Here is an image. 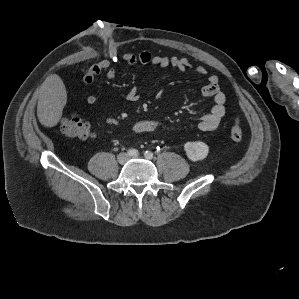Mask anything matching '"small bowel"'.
<instances>
[{"instance_id":"c3829d8e","label":"small bowel","mask_w":299,"mask_h":299,"mask_svg":"<svg viewBox=\"0 0 299 299\" xmlns=\"http://www.w3.org/2000/svg\"><path fill=\"white\" fill-rule=\"evenodd\" d=\"M122 60L129 65L141 64L147 67H174L180 71L194 70L200 75H207V69L201 65H193L185 57L154 55L148 50H142L139 53H125L122 55ZM116 60L114 57L105 58L93 64L83 75V81L86 84H91L103 72H105L107 79H114L117 75V70L114 67ZM201 94L204 97L213 99V106L209 112L204 114L198 123V128L201 131L215 130L223 117L226 114V96L221 91L218 77L216 75H208L207 83L202 86ZM139 91L136 85H133L127 94L130 101L139 99ZM97 98L94 94L86 95V102L94 104ZM158 127V122L153 119H143L137 121L133 126V131L137 134L149 133Z\"/></svg>"}]
</instances>
